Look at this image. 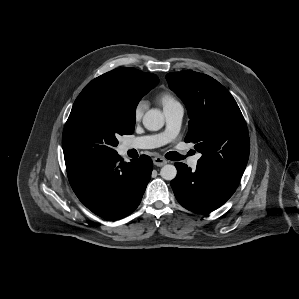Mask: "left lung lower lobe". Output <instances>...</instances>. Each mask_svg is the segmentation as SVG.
Listing matches in <instances>:
<instances>
[{
  "mask_svg": "<svg viewBox=\"0 0 299 299\" xmlns=\"http://www.w3.org/2000/svg\"><path fill=\"white\" fill-rule=\"evenodd\" d=\"M171 186L178 202L196 213H209L223 205L237 189L240 179L197 164L192 171L177 162Z\"/></svg>",
  "mask_w": 299,
  "mask_h": 299,
  "instance_id": "left-lung-lower-lobe-1",
  "label": "left lung lower lobe"
}]
</instances>
